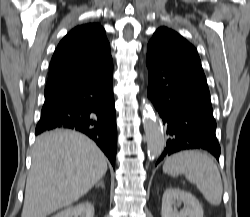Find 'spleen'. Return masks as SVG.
Returning a JSON list of instances; mask_svg holds the SVG:
<instances>
[{
  "label": "spleen",
  "mask_w": 250,
  "mask_h": 217,
  "mask_svg": "<svg viewBox=\"0 0 250 217\" xmlns=\"http://www.w3.org/2000/svg\"><path fill=\"white\" fill-rule=\"evenodd\" d=\"M163 172L170 176L184 174L211 205L221 203L223 184L220 172L207 154L193 150L176 153L166 158Z\"/></svg>",
  "instance_id": "obj_1"
}]
</instances>
